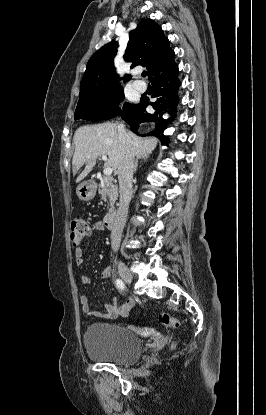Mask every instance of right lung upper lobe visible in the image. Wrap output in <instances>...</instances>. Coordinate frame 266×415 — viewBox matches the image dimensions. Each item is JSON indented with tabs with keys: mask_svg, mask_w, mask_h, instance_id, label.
<instances>
[{
	"mask_svg": "<svg viewBox=\"0 0 266 415\" xmlns=\"http://www.w3.org/2000/svg\"><path fill=\"white\" fill-rule=\"evenodd\" d=\"M117 47L118 43L111 41L92 55L80 83L79 98L120 87L118 81L131 79V75L119 78L115 71L113 63ZM174 55L161 27L151 19H142L129 34L124 58L133 60L131 68L145 66L151 80L175 64Z\"/></svg>",
	"mask_w": 266,
	"mask_h": 415,
	"instance_id": "right-lung-upper-lobe-1",
	"label": "right lung upper lobe"
}]
</instances>
